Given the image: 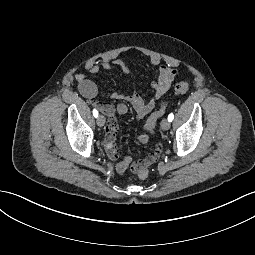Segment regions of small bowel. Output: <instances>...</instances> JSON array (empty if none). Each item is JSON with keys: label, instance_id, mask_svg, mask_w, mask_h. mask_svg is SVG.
I'll return each mask as SVG.
<instances>
[{"label": "small bowel", "instance_id": "small-bowel-1", "mask_svg": "<svg viewBox=\"0 0 255 255\" xmlns=\"http://www.w3.org/2000/svg\"><path fill=\"white\" fill-rule=\"evenodd\" d=\"M151 64L158 66V72L156 80L152 84V96L149 99H145L136 92L129 95L114 92L112 98L120 101L116 106L108 102H101L97 100V86L86 75L77 73L75 79L78 84L79 92L85 97L93 106L97 107L102 113L108 117V125L106 128V141L105 149L110 159L117 161L119 159V153L117 148V131L118 125L115 119L116 114H126L129 105L135 111L137 119H142L147 116L156 106V103L162 98V96L169 90L172 82L177 77L179 71L178 68L169 63H161L159 58H152ZM86 70L93 74H98L102 70H119L122 75L129 76L130 70L121 59L101 60L96 62H88L86 64ZM154 130L139 135L136 139L139 143H146L153 135ZM162 147L158 145L156 149L150 153L145 159L138 162L131 163V157L126 156L122 160L116 163V171L119 174L126 172L136 173L139 169L147 167L155 163L161 156Z\"/></svg>", "mask_w": 255, "mask_h": 255}]
</instances>
